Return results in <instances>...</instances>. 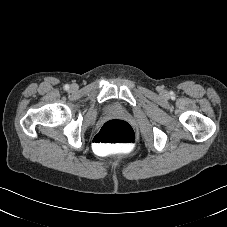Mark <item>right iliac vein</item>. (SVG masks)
I'll return each mask as SVG.
<instances>
[{"mask_svg":"<svg viewBox=\"0 0 227 227\" xmlns=\"http://www.w3.org/2000/svg\"><path fill=\"white\" fill-rule=\"evenodd\" d=\"M77 89V86L76 85H72L71 86V90H76Z\"/></svg>","mask_w":227,"mask_h":227,"instance_id":"right-iliac-vein-1","label":"right iliac vein"}]
</instances>
